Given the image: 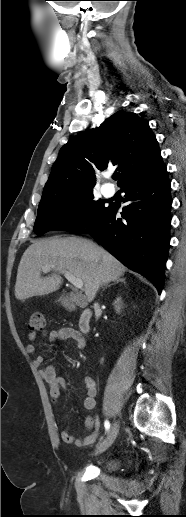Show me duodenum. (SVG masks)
I'll return each mask as SVG.
<instances>
[{
  "instance_id": "410a0bca",
  "label": "duodenum",
  "mask_w": 186,
  "mask_h": 517,
  "mask_svg": "<svg viewBox=\"0 0 186 517\" xmlns=\"http://www.w3.org/2000/svg\"><path fill=\"white\" fill-rule=\"evenodd\" d=\"M71 310L72 306L69 307ZM91 318H92V310L89 308L83 309L81 315L78 320L79 330L83 334H88L91 330Z\"/></svg>"
}]
</instances>
